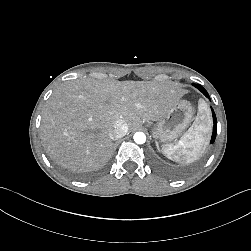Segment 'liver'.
I'll list each match as a JSON object with an SVG mask.
<instances>
[{
  "mask_svg": "<svg viewBox=\"0 0 251 251\" xmlns=\"http://www.w3.org/2000/svg\"><path fill=\"white\" fill-rule=\"evenodd\" d=\"M152 100L137 91L108 89L97 85L75 86L57 103L52 116L55 138L74 150L95 148L108 138L115 122L124 131L138 128L153 116ZM177 125L174 134H181Z\"/></svg>",
  "mask_w": 251,
  "mask_h": 251,
  "instance_id": "6515ba94",
  "label": "liver"
}]
</instances>
